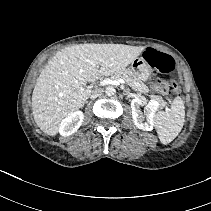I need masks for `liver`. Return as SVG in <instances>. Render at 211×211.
<instances>
[{
    "label": "liver",
    "instance_id": "6515ba94",
    "mask_svg": "<svg viewBox=\"0 0 211 211\" xmlns=\"http://www.w3.org/2000/svg\"><path fill=\"white\" fill-rule=\"evenodd\" d=\"M142 46L124 44H76L58 51L41 71L32 94L37 126L55 136L60 123L82 108L101 76L125 70L143 51Z\"/></svg>",
    "mask_w": 211,
    "mask_h": 211
}]
</instances>
